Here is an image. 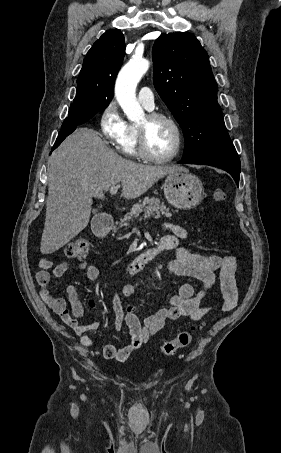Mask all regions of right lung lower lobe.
I'll return each instance as SVG.
<instances>
[{
  "instance_id": "98d812e1",
  "label": "right lung lower lobe",
  "mask_w": 281,
  "mask_h": 453,
  "mask_svg": "<svg viewBox=\"0 0 281 453\" xmlns=\"http://www.w3.org/2000/svg\"><path fill=\"white\" fill-rule=\"evenodd\" d=\"M100 111L102 110H94L89 105L73 108L70 107L68 117L62 124V128L52 150L56 149L61 144V142L76 129L79 124L86 122Z\"/></svg>"
}]
</instances>
